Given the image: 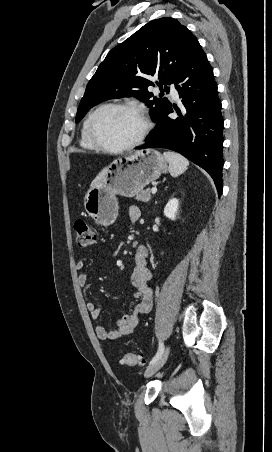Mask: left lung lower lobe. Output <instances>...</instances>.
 Segmentation results:
<instances>
[{
  "label": "left lung lower lobe",
  "mask_w": 272,
  "mask_h": 452,
  "mask_svg": "<svg viewBox=\"0 0 272 452\" xmlns=\"http://www.w3.org/2000/svg\"><path fill=\"white\" fill-rule=\"evenodd\" d=\"M176 90L182 98L181 109L171 103L155 121L147 142L137 149L162 147L177 151L205 169L222 193L223 119L221 101L213 70L199 42L176 77ZM179 117L171 119L169 113Z\"/></svg>",
  "instance_id": "obj_1"
}]
</instances>
